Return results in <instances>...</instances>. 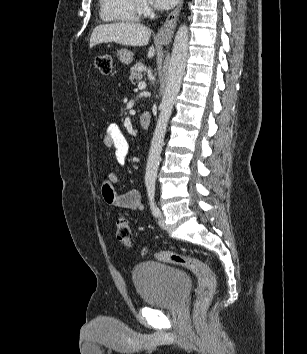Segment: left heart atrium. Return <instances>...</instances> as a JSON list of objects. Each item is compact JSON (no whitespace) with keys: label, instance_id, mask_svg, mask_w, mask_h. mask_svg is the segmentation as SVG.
<instances>
[{"label":"left heart atrium","instance_id":"1","mask_svg":"<svg viewBox=\"0 0 307 354\" xmlns=\"http://www.w3.org/2000/svg\"><path fill=\"white\" fill-rule=\"evenodd\" d=\"M178 0H153L156 6L161 9H169L173 7Z\"/></svg>","mask_w":307,"mask_h":354}]
</instances>
